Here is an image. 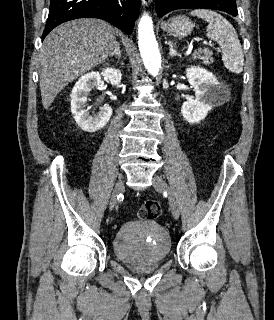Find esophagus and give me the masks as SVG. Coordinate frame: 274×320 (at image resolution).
<instances>
[{"label": "esophagus", "instance_id": "34e87169", "mask_svg": "<svg viewBox=\"0 0 274 320\" xmlns=\"http://www.w3.org/2000/svg\"><path fill=\"white\" fill-rule=\"evenodd\" d=\"M151 2H152V0H142V4H143L144 6L150 5Z\"/></svg>", "mask_w": 274, "mask_h": 320}]
</instances>
